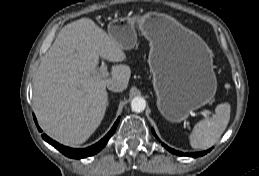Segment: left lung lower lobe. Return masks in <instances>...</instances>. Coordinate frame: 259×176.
I'll use <instances>...</instances> for the list:
<instances>
[{
	"label": "left lung lower lobe",
	"mask_w": 259,
	"mask_h": 176,
	"mask_svg": "<svg viewBox=\"0 0 259 176\" xmlns=\"http://www.w3.org/2000/svg\"><path fill=\"white\" fill-rule=\"evenodd\" d=\"M154 133V131H153ZM155 134V133H154ZM164 145V144H163ZM165 148H167L170 152L172 153H175V154H178V155H186V156H192V157H197V156H202L204 154H206L207 152H201V153H191V154H184V153H181V152H178V151H175L169 147H167L166 145H164Z\"/></svg>",
	"instance_id": "1"
}]
</instances>
